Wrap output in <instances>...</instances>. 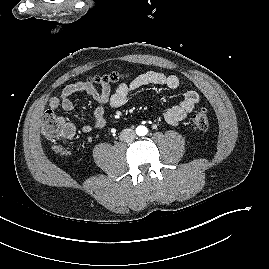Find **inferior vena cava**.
<instances>
[{"label": "inferior vena cava", "instance_id": "1", "mask_svg": "<svg viewBox=\"0 0 269 269\" xmlns=\"http://www.w3.org/2000/svg\"><path fill=\"white\" fill-rule=\"evenodd\" d=\"M119 137L120 140H123L125 142H132L136 138V133L134 130L127 128L122 130Z\"/></svg>", "mask_w": 269, "mask_h": 269}]
</instances>
